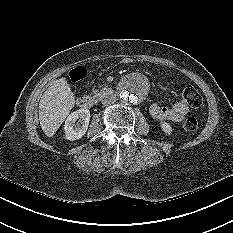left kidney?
<instances>
[{"mask_svg": "<svg viewBox=\"0 0 233 233\" xmlns=\"http://www.w3.org/2000/svg\"><path fill=\"white\" fill-rule=\"evenodd\" d=\"M161 129L166 133V134H171L172 133V127L169 123L163 121L160 123Z\"/></svg>", "mask_w": 233, "mask_h": 233, "instance_id": "left-kidney-1", "label": "left kidney"}]
</instances>
